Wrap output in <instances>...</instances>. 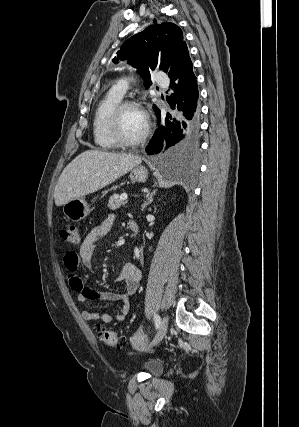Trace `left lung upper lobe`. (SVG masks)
Wrapping results in <instances>:
<instances>
[{
	"label": "left lung upper lobe",
	"mask_w": 299,
	"mask_h": 427,
	"mask_svg": "<svg viewBox=\"0 0 299 427\" xmlns=\"http://www.w3.org/2000/svg\"><path fill=\"white\" fill-rule=\"evenodd\" d=\"M182 42V30L174 23L154 24L125 41L113 62L128 61L144 77L148 88L151 85L149 69L158 66L168 72Z\"/></svg>",
	"instance_id": "obj_1"
}]
</instances>
